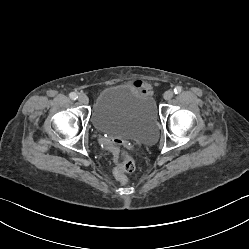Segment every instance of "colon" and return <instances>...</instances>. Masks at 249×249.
I'll list each match as a JSON object with an SVG mask.
<instances>
[{"label": "colon", "mask_w": 249, "mask_h": 249, "mask_svg": "<svg viewBox=\"0 0 249 249\" xmlns=\"http://www.w3.org/2000/svg\"><path fill=\"white\" fill-rule=\"evenodd\" d=\"M103 148H107L113 151L114 157L118 158L119 157V150L110 144L103 143L102 144ZM121 161L117 164L115 168V176L117 180L120 183H126L127 182V177L126 173H130L135 169V162L134 159L131 157V155L127 152H121L120 153Z\"/></svg>", "instance_id": "1"}]
</instances>
